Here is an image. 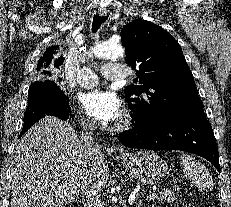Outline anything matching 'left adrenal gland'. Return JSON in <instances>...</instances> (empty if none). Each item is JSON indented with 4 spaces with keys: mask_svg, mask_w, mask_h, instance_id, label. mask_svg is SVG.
Wrapping results in <instances>:
<instances>
[{
    "mask_svg": "<svg viewBox=\"0 0 231 207\" xmlns=\"http://www.w3.org/2000/svg\"><path fill=\"white\" fill-rule=\"evenodd\" d=\"M137 207H141V200H139Z\"/></svg>",
    "mask_w": 231,
    "mask_h": 207,
    "instance_id": "a2214340",
    "label": "left adrenal gland"
}]
</instances>
